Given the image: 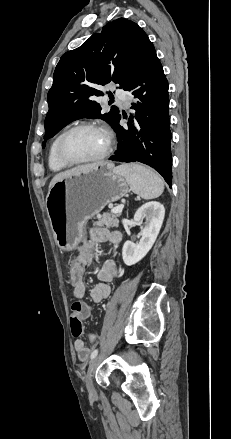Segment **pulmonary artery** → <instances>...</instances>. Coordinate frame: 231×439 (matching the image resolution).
Listing matches in <instances>:
<instances>
[{
    "label": "pulmonary artery",
    "instance_id": "1",
    "mask_svg": "<svg viewBox=\"0 0 231 439\" xmlns=\"http://www.w3.org/2000/svg\"><path fill=\"white\" fill-rule=\"evenodd\" d=\"M116 96H117V97H118L123 103L127 104V102H128V98H127V96H126V94H125L124 91H122V90H117V91H116Z\"/></svg>",
    "mask_w": 231,
    "mask_h": 439
}]
</instances>
